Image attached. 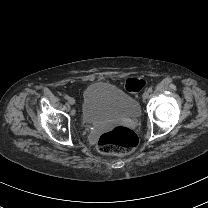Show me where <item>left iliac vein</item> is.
<instances>
[{"label": "left iliac vein", "mask_w": 208, "mask_h": 208, "mask_svg": "<svg viewBox=\"0 0 208 208\" xmlns=\"http://www.w3.org/2000/svg\"><path fill=\"white\" fill-rule=\"evenodd\" d=\"M143 99H147L149 97V92H144L142 95Z\"/></svg>", "instance_id": "obj_1"}]
</instances>
